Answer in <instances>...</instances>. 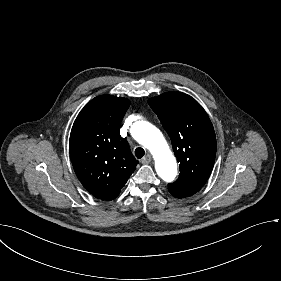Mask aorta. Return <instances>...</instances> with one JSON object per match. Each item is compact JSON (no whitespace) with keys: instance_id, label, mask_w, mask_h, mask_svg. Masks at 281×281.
<instances>
[{"instance_id":"obj_1","label":"aorta","mask_w":281,"mask_h":281,"mask_svg":"<svg viewBox=\"0 0 281 281\" xmlns=\"http://www.w3.org/2000/svg\"><path fill=\"white\" fill-rule=\"evenodd\" d=\"M134 136L154 157L159 177L172 182L177 175V163L161 131L146 121L134 124Z\"/></svg>"}]
</instances>
